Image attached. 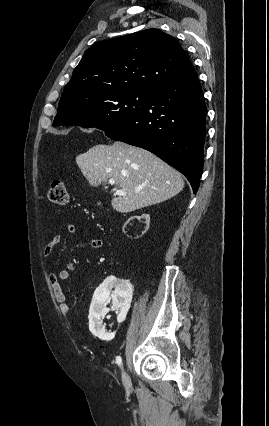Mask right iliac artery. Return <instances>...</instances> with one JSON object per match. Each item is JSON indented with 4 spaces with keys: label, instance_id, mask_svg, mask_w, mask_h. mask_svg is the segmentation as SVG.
<instances>
[{
    "label": "right iliac artery",
    "instance_id": "obj_1",
    "mask_svg": "<svg viewBox=\"0 0 269 426\" xmlns=\"http://www.w3.org/2000/svg\"><path fill=\"white\" fill-rule=\"evenodd\" d=\"M116 363H117L119 366H121V365H122V359H121V357H120V356H117V357H116Z\"/></svg>",
    "mask_w": 269,
    "mask_h": 426
}]
</instances>
